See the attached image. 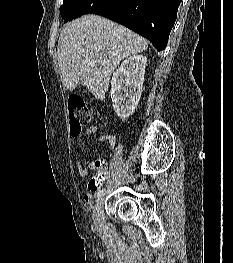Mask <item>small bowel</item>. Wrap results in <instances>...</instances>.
<instances>
[{"label":"small bowel","instance_id":"small-bowel-1","mask_svg":"<svg viewBox=\"0 0 233 263\" xmlns=\"http://www.w3.org/2000/svg\"><path fill=\"white\" fill-rule=\"evenodd\" d=\"M99 131V128L97 126H90L89 128H87L85 130V134L87 135H91V134H95ZM99 141L102 142V143H105L109 149H112L115 145V137L108 133V132H104L103 134L100 135L99 137ZM98 162H101V160H94V161H91L88 165V167H83L81 163H77V168H78V171H79V174L80 176L83 178V179H86L89 177L90 173L95 171V170H99L98 166H97V163ZM102 185V183H99ZM97 189H89L88 188V191L85 193L84 195V200L87 204H92L93 201H94V192L96 191Z\"/></svg>","mask_w":233,"mask_h":263}]
</instances>
